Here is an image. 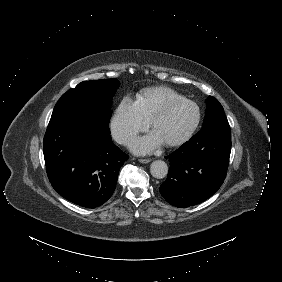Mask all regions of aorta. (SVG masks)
<instances>
[{
    "instance_id": "1",
    "label": "aorta",
    "mask_w": 282,
    "mask_h": 282,
    "mask_svg": "<svg viewBox=\"0 0 282 282\" xmlns=\"http://www.w3.org/2000/svg\"><path fill=\"white\" fill-rule=\"evenodd\" d=\"M150 173L155 178H164L168 173V165L163 160H154L150 165Z\"/></svg>"
}]
</instances>
